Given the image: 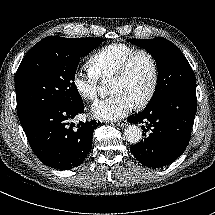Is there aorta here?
I'll return each mask as SVG.
<instances>
[{
	"mask_svg": "<svg viewBox=\"0 0 215 215\" xmlns=\"http://www.w3.org/2000/svg\"><path fill=\"white\" fill-rule=\"evenodd\" d=\"M124 135L128 142L136 144L142 139V129L136 125H129L125 129Z\"/></svg>",
	"mask_w": 215,
	"mask_h": 215,
	"instance_id": "obj_1",
	"label": "aorta"
}]
</instances>
